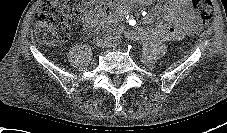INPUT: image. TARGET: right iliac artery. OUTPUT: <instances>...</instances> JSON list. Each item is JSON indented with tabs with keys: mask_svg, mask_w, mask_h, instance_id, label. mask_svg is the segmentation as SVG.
<instances>
[{
	"mask_svg": "<svg viewBox=\"0 0 227 133\" xmlns=\"http://www.w3.org/2000/svg\"><path fill=\"white\" fill-rule=\"evenodd\" d=\"M107 38L111 40V39H112V38H111V34L108 33V34H107Z\"/></svg>",
	"mask_w": 227,
	"mask_h": 133,
	"instance_id": "right-iliac-artery-1",
	"label": "right iliac artery"
}]
</instances>
